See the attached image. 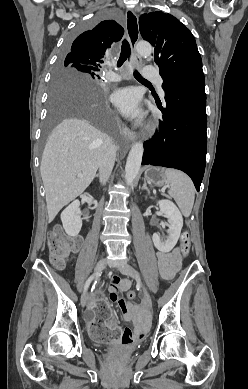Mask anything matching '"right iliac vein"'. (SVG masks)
Wrapping results in <instances>:
<instances>
[{"mask_svg":"<svg viewBox=\"0 0 248 389\" xmlns=\"http://www.w3.org/2000/svg\"><path fill=\"white\" fill-rule=\"evenodd\" d=\"M106 265H107V259L103 258V259L99 260V262L97 263V265L95 267L94 272L98 273V272L102 271L106 267ZM87 299H88L87 290H85L81 296L82 307L86 306Z\"/></svg>","mask_w":248,"mask_h":389,"instance_id":"63e3f726","label":"right iliac vein"}]
</instances>
